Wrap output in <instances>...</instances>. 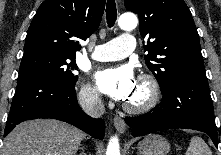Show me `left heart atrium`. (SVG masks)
Returning a JSON list of instances; mask_svg holds the SVG:
<instances>
[{
  "label": "left heart atrium",
  "instance_id": "obj_1",
  "mask_svg": "<svg viewBox=\"0 0 221 155\" xmlns=\"http://www.w3.org/2000/svg\"><path fill=\"white\" fill-rule=\"evenodd\" d=\"M95 80L104 94L118 101H127L137 85L134 73L129 66L98 71Z\"/></svg>",
  "mask_w": 221,
  "mask_h": 155
}]
</instances>
